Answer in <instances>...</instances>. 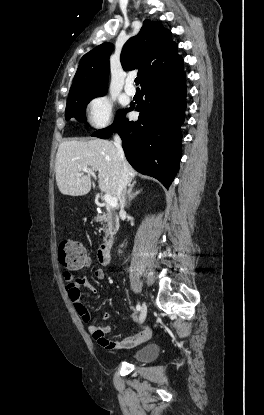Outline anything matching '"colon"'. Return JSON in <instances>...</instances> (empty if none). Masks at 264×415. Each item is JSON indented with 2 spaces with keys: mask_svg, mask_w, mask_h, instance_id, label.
<instances>
[{
  "mask_svg": "<svg viewBox=\"0 0 264 415\" xmlns=\"http://www.w3.org/2000/svg\"><path fill=\"white\" fill-rule=\"evenodd\" d=\"M58 261L63 268L73 270L85 266L89 258L79 242L66 239L60 243Z\"/></svg>",
  "mask_w": 264,
  "mask_h": 415,
  "instance_id": "1",
  "label": "colon"
}]
</instances>
